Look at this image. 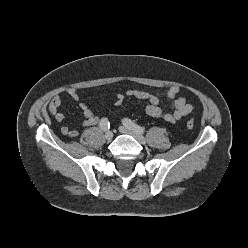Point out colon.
Returning <instances> with one entry per match:
<instances>
[{
	"label": "colon",
	"mask_w": 248,
	"mask_h": 248,
	"mask_svg": "<svg viewBox=\"0 0 248 248\" xmlns=\"http://www.w3.org/2000/svg\"><path fill=\"white\" fill-rule=\"evenodd\" d=\"M186 126L188 129H192L194 127V122L192 120H188Z\"/></svg>",
	"instance_id": "1"
}]
</instances>
